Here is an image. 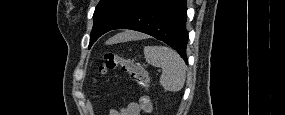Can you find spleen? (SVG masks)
Returning a JSON list of instances; mask_svg holds the SVG:
<instances>
[{
	"instance_id": "spleen-1",
	"label": "spleen",
	"mask_w": 285,
	"mask_h": 115,
	"mask_svg": "<svg viewBox=\"0 0 285 115\" xmlns=\"http://www.w3.org/2000/svg\"><path fill=\"white\" fill-rule=\"evenodd\" d=\"M125 33L118 34L112 40L119 42L125 40ZM146 61L162 69L160 84L170 92L180 91L186 79V64L180 55L166 46H145Z\"/></svg>"
}]
</instances>
